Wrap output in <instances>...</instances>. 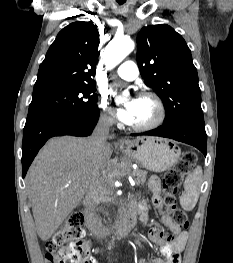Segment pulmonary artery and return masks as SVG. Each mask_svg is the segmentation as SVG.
<instances>
[{
	"label": "pulmonary artery",
	"instance_id": "obj_1",
	"mask_svg": "<svg viewBox=\"0 0 233 263\" xmlns=\"http://www.w3.org/2000/svg\"><path fill=\"white\" fill-rule=\"evenodd\" d=\"M117 75L127 81H132L138 77V67L133 61L123 62L116 71Z\"/></svg>",
	"mask_w": 233,
	"mask_h": 263
}]
</instances>
